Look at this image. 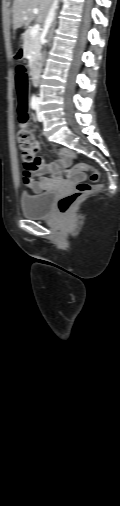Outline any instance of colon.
Here are the masks:
<instances>
[{
  "mask_svg": "<svg viewBox=\"0 0 120 506\" xmlns=\"http://www.w3.org/2000/svg\"><path fill=\"white\" fill-rule=\"evenodd\" d=\"M16 50L14 57L16 60H25V58H17ZM16 90H17V114L18 120L21 125H25L28 120V77L29 72L27 69H18L16 71ZM18 145L21 151V158L23 167L27 172L35 171L39 166V159L37 157L38 145L33 134L25 129H21L17 133ZM91 170V176L89 182H78L73 192L62 196L57 202L58 212L64 214L70 210V208L82 198L95 192L98 189L96 184L100 179L98 171L91 169L87 164L80 163L75 165L72 169L65 171L66 175H70L73 172Z\"/></svg>",
  "mask_w": 120,
  "mask_h": 506,
  "instance_id": "colon-1",
  "label": "colon"
}]
</instances>
